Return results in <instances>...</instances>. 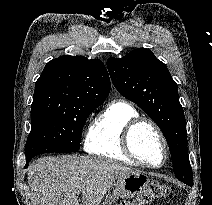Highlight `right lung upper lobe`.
Listing matches in <instances>:
<instances>
[{"instance_id": "1", "label": "right lung upper lobe", "mask_w": 212, "mask_h": 205, "mask_svg": "<svg viewBox=\"0 0 212 205\" xmlns=\"http://www.w3.org/2000/svg\"><path fill=\"white\" fill-rule=\"evenodd\" d=\"M108 72L99 59L61 56L47 63L35 84L31 108L65 109L101 105L110 92Z\"/></svg>"}]
</instances>
